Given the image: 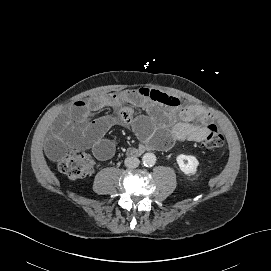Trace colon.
Wrapping results in <instances>:
<instances>
[{"mask_svg":"<svg viewBox=\"0 0 271 271\" xmlns=\"http://www.w3.org/2000/svg\"><path fill=\"white\" fill-rule=\"evenodd\" d=\"M207 132L203 145L208 149L219 148L224 143V138L214 124L206 127ZM60 170L71 179H78L88 176L92 172V162L89 156L80 149L73 150L59 163Z\"/></svg>","mask_w":271,"mask_h":271,"instance_id":"obj_1","label":"colon"}]
</instances>
